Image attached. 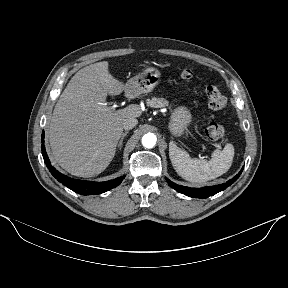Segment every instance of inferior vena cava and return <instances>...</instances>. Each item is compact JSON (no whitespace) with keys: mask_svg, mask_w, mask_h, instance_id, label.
<instances>
[{"mask_svg":"<svg viewBox=\"0 0 288 288\" xmlns=\"http://www.w3.org/2000/svg\"><path fill=\"white\" fill-rule=\"evenodd\" d=\"M138 124V120L134 117L128 118L123 123V129L130 130Z\"/></svg>","mask_w":288,"mask_h":288,"instance_id":"inferior-vena-cava-1","label":"inferior vena cava"}]
</instances>
